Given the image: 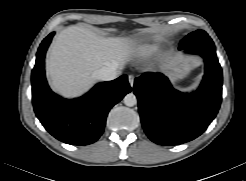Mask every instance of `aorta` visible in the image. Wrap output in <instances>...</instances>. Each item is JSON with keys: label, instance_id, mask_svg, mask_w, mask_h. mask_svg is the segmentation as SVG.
Listing matches in <instances>:
<instances>
[{"label": "aorta", "instance_id": "obj_1", "mask_svg": "<svg viewBox=\"0 0 246 181\" xmlns=\"http://www.w3.org/2000/svg\"><path fill=\"white\" fill-rule=\"evenodd\" d=\"M124 104L128 107H133L137 104V98L133 93H128L125 95L124 99Z\"/></svg>", "mask_w": 246, "mask_h": 181}]
</instances>
